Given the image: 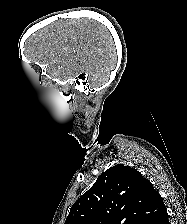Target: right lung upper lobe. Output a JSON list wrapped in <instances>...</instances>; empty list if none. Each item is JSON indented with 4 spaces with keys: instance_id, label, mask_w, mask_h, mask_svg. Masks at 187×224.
<instances>
[{
    "instance_id": "right-lung-upper-lobe-1",
    "label": "right lung upper lobe",
    "mask_w": 187,
    "mask_h": 224,
    "mask_svg": "<svg viewBox=\"0 0 187 224\" xmlns=\"http://www.w3.org/2000/svg\"><path fill=\"white\" fill-rule=\"evenodd\" d=\"M165 214L152 183L119 164L103 172L72 205L65 224H156Z\"/></svg>"
}]
</instances>
